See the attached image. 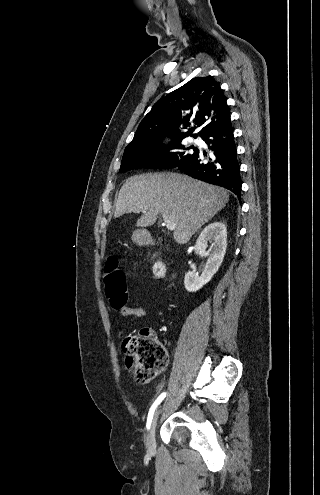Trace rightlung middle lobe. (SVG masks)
<instances>
[{
	"label": "right lung middle lobe",
	"mask_w": 320,
	"mask_h": 495,
	"mask_svg": "<svg viewBox=\"0 0 320 495\" xmlns=\"http://www.w3.org/2000/svg\"><path fill=\"white\" fill-rule=\"evenodd\" d=\"M182 140L174 141L163 151L161 144H145L124 151L120 172L136 168L170 169L186 161L192 154L186 153ZM169 150H172L168 152ZM196 149H194L195 151Z\"/></svg>",
	"instance_id": "obj_1"
}]
</instances>
